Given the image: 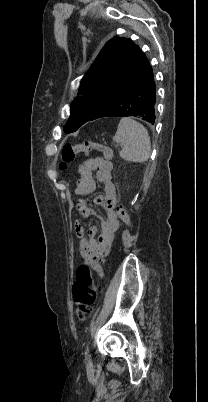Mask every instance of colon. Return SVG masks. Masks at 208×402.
Returning a JSON list of instances; mask_svg holds the SVG:
<instances>
[{"mask_svg":"<svg viewBox=\"0 0 208 402\" xmlns=\"http://www.w3.org/2000/svg\"><path fill=\"white\" fill-rule=\"evenodd\" d=\"M92 151H100L106 159L112 158V150L106 146L92 141H85L80 144L64 143L61 148L63 162L61 168L65 167V163H72L76 160L80 153H90ZM117 216L127 225H131V220L122 204L117 206ZM73 299L77 304L78 317L83 320L96 305L99 296V288L94 284L91 277L90 268L86 264L79 265L77 269V278L72 287Z\"/></svg>","mask_w":208,"mask_h":402,"instance_id":"obj_1","label":"colon"}]
</instances>
